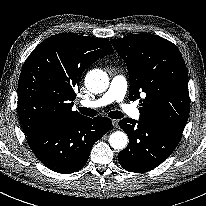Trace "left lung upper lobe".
<instances>
[{
    "mask_svg": "<svg viewBox=\"0 0 206 206\" xmlns=\"http://www.w3.org/2000/svg\"><path fill=\"white\" fill-rule=\"evenodd\" d=\"M111 43L126 62L130 100L140 98V120L184 130L190 111L188 73L178 48L149 33L133 34Z\"/></svg>",
    "mask_w": 206,
    "mask_h": 206,
    "instance_id": "left-lung-upper-lobe-1",
    "label": "left lung upper lobe"
}]
</instances>
